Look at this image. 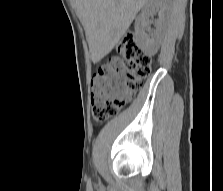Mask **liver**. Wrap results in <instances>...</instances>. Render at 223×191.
I'll return each instance as SVG.
<instances>
[{"label":"liver","instance_id":"liver-1","mask_svg":"<svg viewBox=\"0 0 223 191\" xmlns=\"http://www.w3.org/2000/svg\"><path fill=\"white\" fill-rule=\"evenodd\" d=\"M147 1L74 0L94 63L111 52Z\"/></svg>","mask_w":223,"mask_h":191}]
</instances>
